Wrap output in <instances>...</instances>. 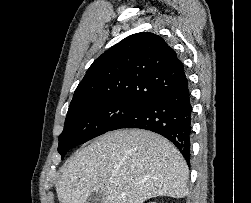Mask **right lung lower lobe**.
I'll list each match as a JSON object with an SVG mask.
<instances>
[{"label":"right lung lower lobe","instance_id":"98d812e1","mask_svg":"<svg viewBox=\"0 0 251 203\" xmlns=\"http://www.w3.org/2000/svg\"><path fill=\"white\" fill-rule=\"evenodd\" d=\"M192 105L188 81L157 95L141 108L117 123L112 130L140 128L170 140L188 165L191 156ZM111 130V131H112Z\"/></svg>","mask_w":251,"mask_h":203}]
</instances>
